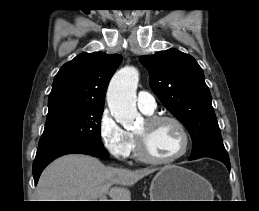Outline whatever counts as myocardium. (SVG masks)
I'll return each mask as SVG.
<instances>
[{
    "mask_svg": "<svg viewBox=\"0 0 259 211\" xmlns=\"http://www.w3.org/2000/svg\"><path fill=\"white\" fill-rule=\"evenodd\" d=\"M164 121L171 122L178 128L180 135L182 137V147L180 151L174 156L169 158H164V159L155 158L148 152L143 138L136 133L135 140H136L137 154L142 161L151 163V164H158V165L170 164L182 158L188 151L189 145H190V137L185 125L180 119H178L173 115H167V114L151 115L146 117L145 119V122L149 125H156Z\"/></svg>",
    "mask_w": 259,
    "mask_h": 211,
    "instance_id": "obj_1",
    "label": "myocardium"
}]
</instances>
